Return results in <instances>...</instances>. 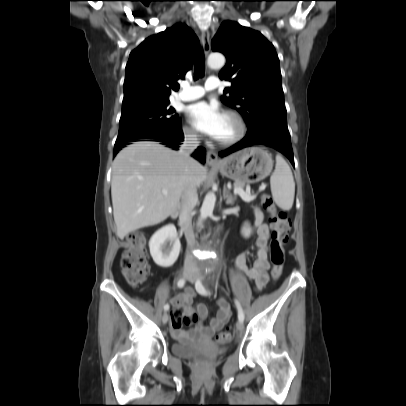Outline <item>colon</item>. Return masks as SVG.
I'll return each instance as SVG.
<instances>
[{"label": "colon", "mask_w": 406, "mask_h": 406, "mask_svg": "<svg viewBox=\"0 0 406 406\" xmlns=\"http://www.w3.org/2000/svg\"><path fill=\"white\" fill-rule=\"evenodd\" d=\"M262 204L268 214V220L273 227L270 243V258L272 263L271 276L273 281L279 279L284 265V246L288 241L289 221L286 212L278 209L269 195L262 196ZM145 237L138 232L128 236L126 249L122 253L121 273L130 286L143 283L148 276L146 261ZM195 319V314H182L175 311L171 317L174 327H181L182 321L190 323ZM231 337L229 330L217 334L216 339L220 343L227 342Z\"/></svg>", "instance_id": "colon-1"}]
</instances>
